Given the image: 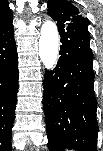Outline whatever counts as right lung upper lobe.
I'll use <instances>...</instances> for the list:
<instances>
[{
  "mask_svg": "<svg viewBox=\"0 0 103 151\" xmlns=\"http://www.w3.org/2000/svg\"><path fill=\"white\" fill-rule=\"evenodd\" d=\"M4 4L2 7H1V11L3 12H6V15H1L0 16V31H3L7 28H9L12 23V14L10 12V9L8 8V2L7 1H4Z\"/></svg>",
  "mask_w": 103,
  "mask_h": 151,
  "instance_id": "1",
  "label": "right lung upper lobe"
}]
</instances>
